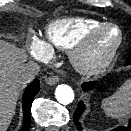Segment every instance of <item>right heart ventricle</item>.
Returning a JSON list of instances; mask_svg holds the SVG:
<instances>
[{"mask_svg": "<svg viewBox=\"0 0 131 131\" xmlns=\"http://www.w3.org/2000/svg\"><path fill=\"white\" fill-rule=\"evenodd\" d=\"M104 23L101 20L85 17H67L57 19L48 24L45 30L47 46L54 49L68 51L85 34Z\"/></svg>", "mask_w": 131, "mask_h": 131, "instance_id": "right-heart-ventricle-1", "label": "right heart ventricle"}]
</instances>
